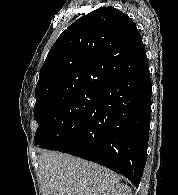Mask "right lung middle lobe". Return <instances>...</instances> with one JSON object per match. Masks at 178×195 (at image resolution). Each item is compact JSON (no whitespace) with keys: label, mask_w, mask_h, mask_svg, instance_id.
I'll use <instances>...</instances> for the list:
<instances>
[{"label":"right lung middle lobe","mask_w":178,"mask_h":195,"mask_svg":"<svg viewBox=\"0 0 178 195\" xmlns=\"http://www.w3.org/2000/svg\"><path fill=\"white\" fill-rule=\"evenodd\" d=\"M97 90H77L51 97L34 107L38 123L35 144L55 149L66 134L79 123L93 106Z\"/></svg>","instance_id":"dd1d6c3e"}]
</instances>
